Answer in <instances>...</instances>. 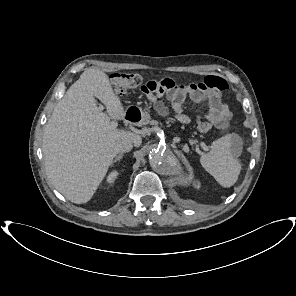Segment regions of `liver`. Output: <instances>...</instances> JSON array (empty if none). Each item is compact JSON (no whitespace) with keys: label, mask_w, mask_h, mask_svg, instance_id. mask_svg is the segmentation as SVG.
Listing matches in <instances>:
<instances>
[{"label":"liver","mask_w":296,"mask_h":296,"mask_svg":"<svg viewBox=\"0 0 296 296\" xmlns=\"http://www.w3.org/2000/svg\"><path fill=\"white\" fill-rule=\"evenodd\" d=\"M124 116L109 77L95 67L86 69L57 103L44 129L42 151L47 176L66 199L82 204L92 198L116 156L118 141L141 144L139 135L111 126L110 118Z\"/></svg>","instance_id":"6515ba94"}]
</instances>
